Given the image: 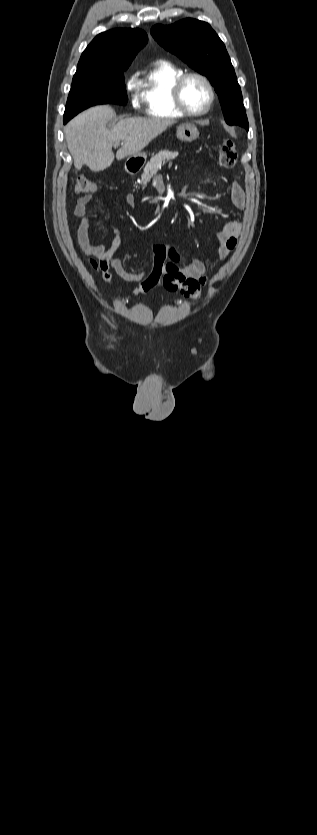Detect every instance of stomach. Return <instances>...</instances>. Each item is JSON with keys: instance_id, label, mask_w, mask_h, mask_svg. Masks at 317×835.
<instances>
[{"instance_id": "stomach-1", "label": "stomach", "mask_w": 317, "mask_h": 835, "mask_svg": "<svg viewBox=\"0 0 317 835\" xmlns=\"http://www.w3.org/2000/svg\"><path fill=\"white\" fill-rule=\"evenodd\" d=\"M177 137L183 142L190 143L199 137V131L194 124L184 123L177 128ZM146 158L147 155L145 152H139L136 155H132L129 159L135 160L137 164H143L144 161H146Z\"/></svg>"}]
</instances>
